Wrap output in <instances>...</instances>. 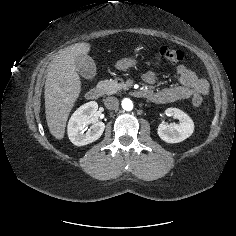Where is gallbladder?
<instances>
[{
  "label": "gallbladder",
  "mask_w": 236,
  "mask_h": 236,
  "mask_svg": "<svg viewBox=\"0 0 236 236\" xmlns=\"http://www.w3.org/2000/svg\"><path fill=\"white\" fill-rule=\"evenodd\" d=\"M77 72L85 79L92 80L97 73V68L94 60L89 55H81L76 62Z\"/></svg>",
  "instance_id": "1"
}]
</instances>
